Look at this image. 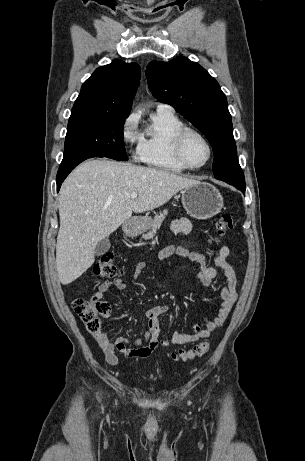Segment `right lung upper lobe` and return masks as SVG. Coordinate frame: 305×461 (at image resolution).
<instances>
[{
    "label": "right lung upper lobe",
    "instance_id": "obj_1",
    "mask_svg": "<svg viewBox=\"0 0 305 461\" xmlns=\"http://www.w3.org/2000/svg\"><path fill=\"white\" fill-rule=\"evenodd\" d=\"M141 77L140 66L114 60L99 67L87 79L72 111L129 116Z\"/></svg>",
    "mask_w": 305,
    "mask_h": 461
}]
</instances>
